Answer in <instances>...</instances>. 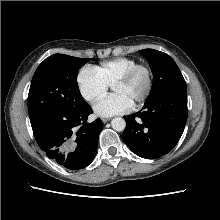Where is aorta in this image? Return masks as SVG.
I'll return each instance as SVG.
<instances>
[{
    "instance_id": "1",
    "label": "aorta",
    "mask_w": 220,
    "mask_h": 220,
    "mask_svg": "<svg viewBox=\"0 0 220 220\" xmlns=\"http://www.w3.org/2000/svg\"><path fill=\"white\" fill-rule=\"evenodd\" d=\"M111 126L115 131H123L126 127V122L123 118L116 117L112 119Z\"/></svg>"
}]
</instances>
